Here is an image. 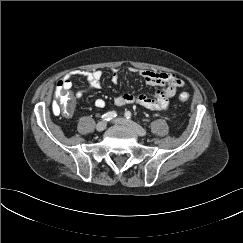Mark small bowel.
<instances>
[{"label": "small bowel", "instance_id": "small-bowel-1", "mask_svg": "<svg viewBox=\"0 0 243 243\" xmlns=\"http://www.w3.org/2000/svg\"><path fill=\"white\" fill-rule=\"evenodd\" d=\"M139 75L143 78L144 82L151 87H156L154 95L149 97L144 94L133 95L130 93L119 94L115 97L114 101L117 105L139 104L150 110H164L169 105V100L175 95L176 91L184 85L182 79L172 73L157 72L149 70L138 71ZM78 75L86 78L88 86L85 89L78 90L75 93V98L80 99L84 92L93 89H99L101 86L102 72L100 70L84 71L79 70L72 74H68L59 81L65 90H70L73 86L72 78ZM120 79L118 69L112 70V82L117 84ZM105 100L98 98L95 100L97 108L105 107Z\"/></svg>", "mask_w": 243, "mask_h": 243}]
</instances>
